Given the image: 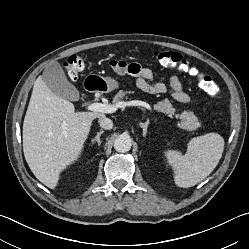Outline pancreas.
<instances>
[{
    "instance_id": "pancreas-1",
    "label": "pancreas",
    "mask_w": 249,
    "mask_h": 249,
    "mask_svg": "<svg viewBox=\"0 0 249 249\" xmlns=\"http://www.w3.org/2000/svg\"><path fill=\"white\" fill-rule=\"evenodd\" d=\"M128 93H130V92L120 90L113 98V103L117 104V103L122 102V100L125 97H127L126 95ZM154 108L157 111L163 112L164 114H166L168 116H172L175 113V109L172 107V104L168 100L157 102L156 104H154ZM179 118L181 120V122L179 124L180 128L188 130V131L196 130L201 125L198 122V118L191 111L182 112L179 115Z\"/></svg>"
}]
</instances>
